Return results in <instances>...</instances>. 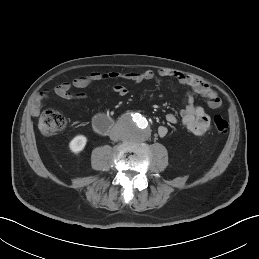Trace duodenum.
I'll list each match as a JSON object with an SVG mask.
<instances>
[{"instance_id": "duodenum-1", "label": "duodenum", "mask_w": 259, "mask_h": 259, "mask_svg": "<svg viewBox=\"0 0 259 259\" xmlns=\"http://www.w3.org/2000/svg\"><path fill=\"white\" fill-rule=\"evenodd\" d=\"M112 120L106 116H99L93 121V130L96 134H106L111 130Z\"/></svg>"}]
</instances>
